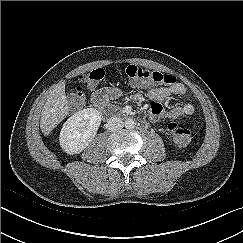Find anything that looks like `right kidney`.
<instances>
[{"mask_svg":"<svg viewBox=\"0 0 243 243\" xmlns=\"http://www.w3.org/2000/svg\"><path fill=\"white\" fill-rule=\"evenodd\" d=\"M101 123L100 113L93 108L83 109L71 116L60 132V145L67 154L82 152L92 141Z\"/></svg>","mask_w":243,"mask_h":243,"instance_id":"1","label":"right kidney"}]
</instances>
